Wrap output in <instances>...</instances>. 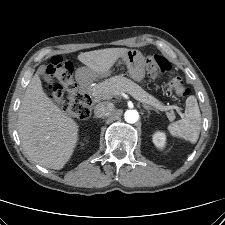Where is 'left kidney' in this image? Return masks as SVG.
<instances>
[{
  "label": "left kidney",
  "mask_w": 225,
  "mask_h": 225,
  "mask_svg": "<svg viewBox=\"0 0 225 225\" xmlns=\"http://www.w3.org/2000/svg\"><path fill=\"white\" fill-rule=\"evenodd\" d=\"M153 143L158 147V148H163L166 144V136L163 132H156L153 135Z\"/></svg>",
  "instance_id": "obj_1"
}]
</instances>
